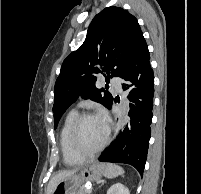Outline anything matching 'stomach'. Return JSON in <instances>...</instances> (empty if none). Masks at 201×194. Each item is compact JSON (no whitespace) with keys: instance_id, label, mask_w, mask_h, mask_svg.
Returning <instances> with one entry per match:
<instances>
[{"instance_id":"stomach-1","label":"stomach","mask_w":201,"mask_h":194,"mask_svg":"<svg viewBox=\"0 0 201 194\" xmlns=\"http://www.w3.org/2000/svg\"><path fill=\"white\" fill-rule=\"evenodd\" d=\"M106 166L101 163H91L78 173L62 179L52 194H76V191L86 182L99 181L105 175Z\"/></svg>"}]
</instances>
